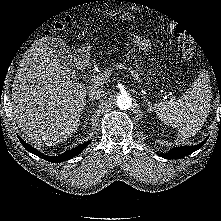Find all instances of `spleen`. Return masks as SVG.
<instances>
[{"label": "spleen", "instance_id": "obj_1", "mask_svg": "<svg viewBox=\"0 0 221 221\" xmlns=\"http://www.w3.org/2000/svg\"><path fill=\"white\" fill-rule=\"evenodd\" d=\"M208 74L202 72L179 100L158 102L154 110L161 121L178 129V136L190 138L203 126L211 104Z\"/></svg>", "mask_w": 221, "mask_h": 221}]
</instances>
